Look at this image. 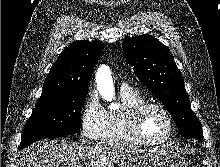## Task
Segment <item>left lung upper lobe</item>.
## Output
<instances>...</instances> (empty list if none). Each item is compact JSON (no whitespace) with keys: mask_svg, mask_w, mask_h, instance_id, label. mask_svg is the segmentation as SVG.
I'll use <instances>...</instances> for the list:
<instances>
[{"mask_svg":"<svg viewBox=\"0 0 220 167\" xmlns=\"http://www.w3.org/2000/svg\"><path fill=\"white\" fill-rule=\"evenodd\" d=\"M122 47L127 63L134 66L139 81L171 113L180 133L187 139L201 141V125L191 109L181 72L170 50L150 35L126 39Z\"/></svg>","mask_w":220,"mask_h":167,"instance_id":"obj_1","label":"left lung upper lobe"}]
</instances>
